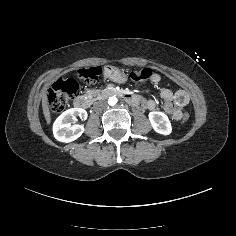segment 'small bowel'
I'll list each match as a JSON object with an SVG mask.
<instances>
[{
	"label": "small bowel",
	"mask_w": 236,
	"mask_h": 236,
	"mask_svg": "<svg viewBox=\"0 0 236 236\" xmlns=\"http://www.w3.org/2000/svg\"><path fill=\"white\" fill-rule=\"evenodd\" d=\"M160 81L159 75H154L153 83H158ZM164 96L167 98L169 97V91H164ZM188 103V96L184 92H178L176 95V104H175V112L173 114V118L178 120L181 117V108Z\"/></svg>",
	"instance_id": "c3829d8e"
}]
</instances>
